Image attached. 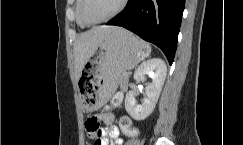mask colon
Segmentation results:
<instances>
[{
    "label": "colon",
    "mask_w": 243,
    "mask_h": 145,
    "mask_svg": "<svg viewBox=\"0 0 243 145\" xmlns=\"http://www.w3.org/2000/svg\"><path fill=\"white\" fill-rule=\"evenodd\" d=\"M120 102H121V97L116 96L113 99L112 104L116 106L119 105ZM120 127L123 130V132L128 135L132 136L137 133L136 129L132 126L131 120L128 117H122L120 119ZM85 128L88 134L98 136L100 132L99 119L96 116H92L88 118L85 122Z\"/></svg>",
    "instance_id": "obj_1"
}]
</instances>
